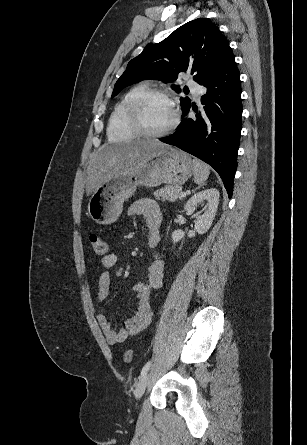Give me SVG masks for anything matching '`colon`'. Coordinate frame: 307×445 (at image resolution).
I'll return each mask as SVG.
<instances>
[{
	"label": "colon",
	"mask_w": 307,
	"mask_h": 445,
	"mask_svg": "<svg viewBox=\"0 0 307 445\" xmlns=\"http://www.w3.org/2000/svg\"><path fill=\"white\" fill-rule=\"evenodd\" d=\"M91 246L94 252L98 255L104 256L108 252V245L106 241L98 233H92L89 237ZM133 359V350L127 349L123 353V361L125 363H130Z\"/></svg>",
	"instance_id": "obj_1"
}]
</instances>
